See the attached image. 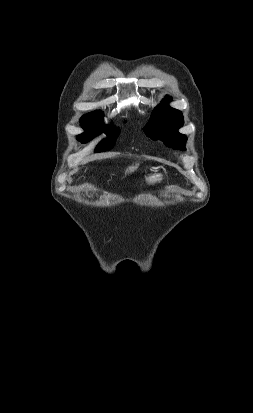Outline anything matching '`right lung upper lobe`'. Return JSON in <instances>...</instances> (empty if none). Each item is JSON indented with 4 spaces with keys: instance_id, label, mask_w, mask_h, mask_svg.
Masks as SVG:
<instances>
[{
    "instance_id": "right-lung-upper-lobe-1",
    "label": "right lung upper lobe",
    "mask_w": 253,
    "mask_h": 413,
    "mask_svg": "<svg viewBox=\"0 0 253 413\" xmlns=\"http://www.w3.org/2000/svg\"><path fill=\"white\" fill-rule=\"evenodd\" d=\"M103 113L101 111H95L89 114L84 115L81 119L82 124H98L102 123Z\"/></svg>"
}]
</instances>
